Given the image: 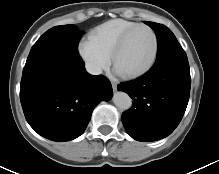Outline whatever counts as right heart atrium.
<instances>
[{"label":"right heart atrium","instance_id":"obj_1","mask_svg":"<svg viewBox=\"0 0 219 174\" xmlns=\"http://www.w3.org/2000/svg\"><path fill=\"white\" fill-rule=\"evenodd\" d=\"M78 52L92 74H99L110 65V56L89 38L79 43Z\"/></svg>","mask_w":219,"mask_h":174}]
</instances>
